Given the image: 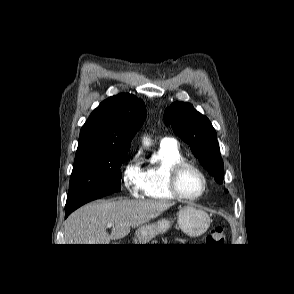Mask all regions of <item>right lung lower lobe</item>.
Segmentation results:
<instances>
[{
  "instance_id": "obj_1",
  "label": "right lung lower lobe",
  "mask_w": 294,
  "mask_h": 294,
  "mask_svg": "<svg viewBox=\"0 0 294 294\" xmlns=\"http://www.w3.org/2000/svg\"><path fill=\"white\" fill-rule=\"evenodd\" d=\"M106 196V195H104ZM103 197V196H101ZM101 197H97V198H93V199H89V200H86L84 202H81V203H77V204H74L72 206H69V207H65V217H67L71 212H73L74 210H76L77 208H79L80 206H82L83 204L89 202V201H92V200H95V199H98V198H101Z\"/></svg>"
}]
</instances>
